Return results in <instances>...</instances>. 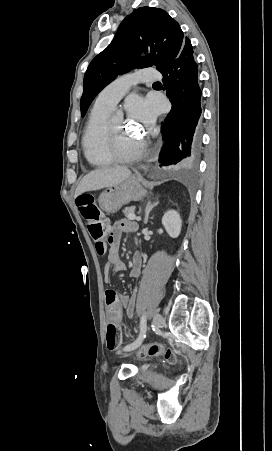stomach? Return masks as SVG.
<instances>
[{"label": "stomach", "mask_w": 272, "mask_h": 451, "mask_svg": "<svg viewBox=\"0 0 272 451\" xmlns=\"http://www.w3.org/2000/svg\"><path fill=\"white\" fill-rule=\"evenodd\" d=\"M140 182H143L142 176L135 174V176H130L123 182L113 184V186L104 190L98 198L101 210L107 212V214H115L124 204H129L131 200L136 202V200L145 198L147 190H144Z\"/></svg>", "instance_id": "1"}]
</instances>
